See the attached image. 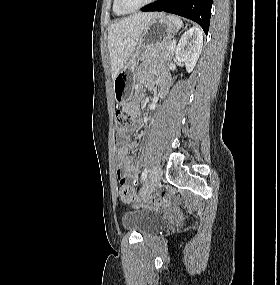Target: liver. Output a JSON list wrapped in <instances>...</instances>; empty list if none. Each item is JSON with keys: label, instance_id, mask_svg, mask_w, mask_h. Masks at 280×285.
<instances>
[{"label": "liver", "instance_id": "liver-1", "mask_svg": "<svg viewBox=\"0 0 280 285\" xmlns=\"http://www.w3.org/2000/svg\"><path fill=\"white\" fill-rule=\"evenodd\" d=\"M157 13H137L113 23L108 31V49L111 60L112 80L135 51L141 35Z\"/></svg>", "mask_w": 280, "mask_h": 285}]
</instances>
